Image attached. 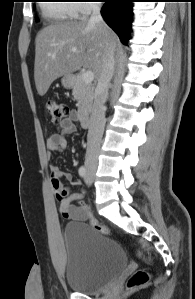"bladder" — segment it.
Instances as JSON below:
<instances>
[{
	"mask_svg": "<svg viewBox=\"0 0 195 299\" xmlns=\"http://www.w3.org/2000/svg\"><path fill=\"white\" fill-rule=\"evenodd\" d=\"M63 244L65 281L72 290L95 292L113 282L127 266L119 244L83 221L66 224Z\"/></svg>",
	"mask_w": 195,
	"mask_h": 299,
	"instance_id": "1",
	"label": "bladder"
}]
</instances>
